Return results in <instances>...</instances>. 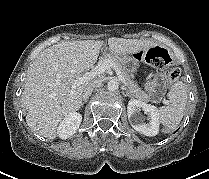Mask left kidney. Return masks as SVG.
Returning a JSON list of instances; mask_svg holds the SVG:
<instances>
[{"mask_svg":"<svg viewBox=\"0 0 209 179\" xmlns=\"http://www.w3.org/2000/svg\"><path fill=\"white\" fill-rule=\"evenodd\" d=\"M143 110L148 115V123H144L140 116L136 113ZM127 113L129 121L132 127L146 135V136H155L159 132V113L158 109L151 104H146L145 102L131 99L127 105Z\"/></svg>","mask_w":209,"mask_h":179,"instance_id":"1","label":"left kidney"}]
</instances>
